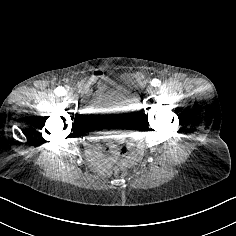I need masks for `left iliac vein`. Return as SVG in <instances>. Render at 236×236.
I'll return each instance as SVG.
<instances>
[{"label": "left iliac vein", "instance_id": "4c4485c4", "mask_svg": "<svg viewBox=\"0 0 236 236\" xmlns=\"http://www.w3.org/2000/svg\"><path fill=\"white\" fill-rule=\"evenodd\" d=\"M145 93L148 96H152L155 93V90L153 87H148Z\"/></svg>", "mask_w": 236, "mask_h": 236}]
</instances>
